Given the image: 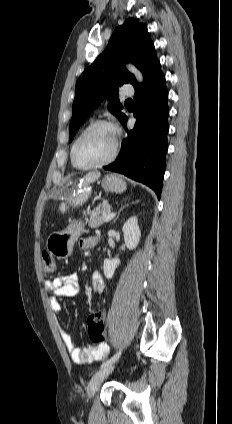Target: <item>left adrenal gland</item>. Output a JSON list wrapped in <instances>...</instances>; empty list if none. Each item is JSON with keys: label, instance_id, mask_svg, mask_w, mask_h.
Segmentation results:
<instances>
[{"label": "left adrenal gland", "instance_id": "left-adrenal-gland-1", "mask_svg": "<svg viewBox=\"0 0 232 424\" xmlns=\"http://www.w3.org/2000/svg\"><path fill=\"white\" fill-rule=\"evenodd\" d=\"M127 200V199H126ZM137 203H139V201L137 200V201H135V202H132V204H137ZM129 206V204L127 203L125 206H122L121 208H120V210L118 211V213H117V216L115 217V219L113 220V223H115L116 222V220L119 218V216H120V213H121V211L125 208V207H128Z\"/></svg>", "mask_w": 232, "mask_h": 424}]
</instances>
